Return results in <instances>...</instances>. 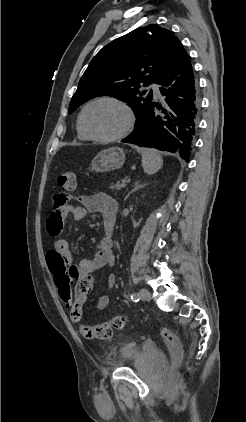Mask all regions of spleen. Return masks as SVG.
Masks as SVG:
<instances>
[{
	"instance_id": "1",
	"label": "spleen",
	"mask_w": 246,
	"mask_h": 422,
	"mask_svg": "<svg viewBox=\"0 0 246 422\" xmlns=\"http://www.w3.org/2000/svg\"><path fill=\"white\" fill-rule=\"evenodd\" d=\"M163 160L157 151L151 149L142 150V166L147 174H154L161 169Z\"/></svg>"
}]
</instances>
